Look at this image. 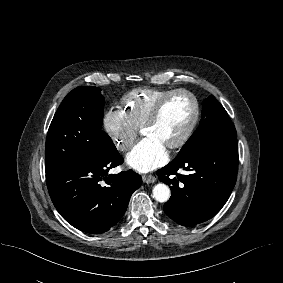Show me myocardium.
I'll return each mask as SVG.
<instances>
[{
    "label": "myocardium",
    "mask_w": 283,
    "mask_h": 283,
    "mask_svg": "<svg viewBox=\"0 0 283 283\" xmlns=\"http://www.w3.org/2000/svg\"><path fill=\"white\" fill-rule=\"evenodd\" d=\"M176 95H185L191 99L194 105V115H193V118L188 128L186 129L184 134L181 136V138L178 139L176 142L169 144L167 146V148L169 149H178V148L185 146L188 143V141L191 139L192 135L194 134L198 126V123L201 117V106H200V102L198 98L193 92L187 89H175L167 93L166 95H164L157 101V103L153 107L151 113L149 114L148 118L146 119V121L144 122L142 126V131H143L145 128L154 125L160 118V115L165 105L168 103V101L171 98H173Z\"/></svg>",
    "instance_id": "1"
}]
</instances>
